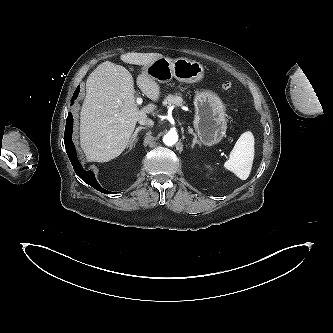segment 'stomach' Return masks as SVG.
Masks as SVG:
<instances>
[{"instance_id":"stomach-1","label":"stomach","mask_w":333,"mask_h":333,"mask_svg":"<svg viewBox=\"0 0 333 333\" xmlns=\"http://www.w3.org/2000/svg\"><path fill=\"white\" fill-rule=\"evenodd\" d=\"M148 76L158 83H167L172 77L180 82L195 83L204 76L203 65L187 59L159 57L143 68ZM193 125L202 144L212 146L226 134L227 119L225 106L218 95L210 90L196 93Z\"/></svg>"}]
</instances>
